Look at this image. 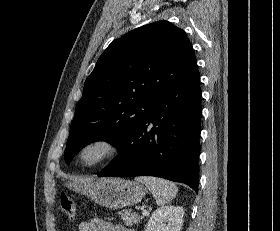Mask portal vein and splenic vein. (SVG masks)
Segmentation results:
<instances>
[{
  "label": "portal vein and splenic vein",
  "mask_w": 280,
  "mask_h": 231,
  "mask_svg": "<svg viewBox=\"0 0 280 231\" xmlns=\"http://www.w3.org/2000/svg\"><path fill=\"white\" fill-rule=\"evenodd\" d=\"M142 213L143 215H149V211H147V209H142Z\"/></svg>",
  "instance_id": "18ae733b"
}]
</instances>
